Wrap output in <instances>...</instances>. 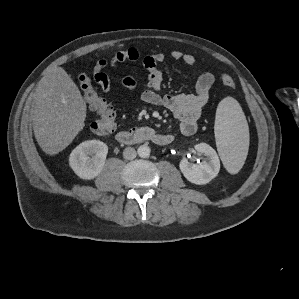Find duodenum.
Wrapping results in <instances>:
<instances>
[{
    "instance_id": "1",
    "label": "duodenum",
    "mask_w": 299,
    "mask_h": 299,
    "mask_svg": "<svg viewBox=\"0 0 299 299\" xmlns=\"http://www.w3.org/2000/svg\"><path fill=\"white\" fill-rule=\"evenodd\" d=\"M116 139L120 143L130 145L144 141H152L157 144H163L165 137L148 126L138 127L131 130H122L116 134Z\"/></svg>"
}]
</instances>
